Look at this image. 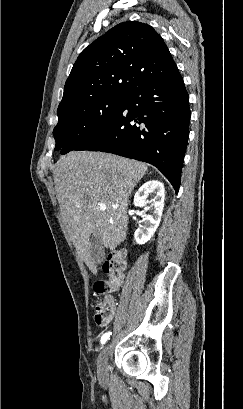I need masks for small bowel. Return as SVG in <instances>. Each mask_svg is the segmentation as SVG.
Wrapping results in <instances>:
<instances>
[{"instance_id":"1","label":"small bowel","mask_w":243,"mask_h":409,"mask_svg":"<svg viewBox=\"0 0 243 409\" xmlns=\"http://www.w3.org/2000/svg\"><path fill=\"white\" fill-rule=\"evenodd\" d=\"M105 299L108 301V302H110V304H111V306H112V309H113V316H112V318L115 316V314H116V306H115V304L113 303V299H112V297L111 296H106L105 297ZM111 318V319H112ZM111 321V320H110ZM109 321V322H110Z\"/></svg>"}]
</instances>
